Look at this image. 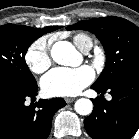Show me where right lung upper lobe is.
<instances>
[{
  "label": "right lung upper lobe",
  "instance_id": "1",
  "mask_svg": "<svg viewBox=\"0 0 139 139\" xmlns=\"http://www.w3.org/2000/svg\"><path fill=\"white\" fill-rule=\"evenodd\" d=\"M58 28H60V27L59 26H48V27H45L43 29H35V30L43 35L44 33L52 32V31H54V30H56Z\"/></svg>",
  "mask_w": 139,
  "mask_h": 139
}]
</instances>
